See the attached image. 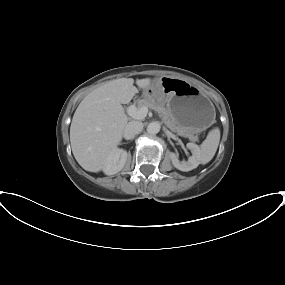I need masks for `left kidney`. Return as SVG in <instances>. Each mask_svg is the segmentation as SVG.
<instances>
[{
  "label": "left kidney",
  "mask_w": 285,
  "mask_h": 285,
  "mask_svg": "<svg viewBox=\"0 0 285 285\" xmlns=\"http://www.w3.org/2000/svg\"><path fill=\"white\" fill-rule=\"evenodd\" d=\"M186 146L189 150H191L192 153V156L189 157L187 162L184 161L180 162L175 153L170 154V159L172 161L173 166L178 170L185 172L197 168L201 162V153L199 146L196 145L195 143H187Z\"/></svg>",
  "instance_id": "obj_1"
}]
</instances>
